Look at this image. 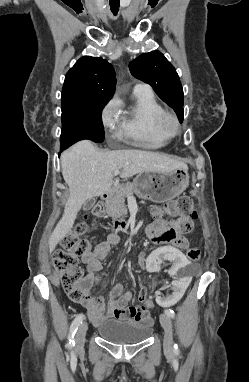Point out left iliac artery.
Returning a JSON list of instances; mask_svg holds the SVG:
<instances>
[{
  "instance_id": "left-iliac-artery-1",
  "label": "left iliac artery",
  "mask_w": 249,
  "mask_h": 382,
  "mask_svg": "<svg viewBox=\"0 0 249 382\" xmlns=\"http://www.w3.org/2000/svg\"><path fill=\"white\" fill-rule=\"evenodd\" d=\"M165 314H166L167 316H169L170 318H174V317H175V313H174V311L171 310V309H167V310H165ZM174 348H175V349L178 348V347H177V344L174 345Z\"/></svg>"
}]
</instances>
